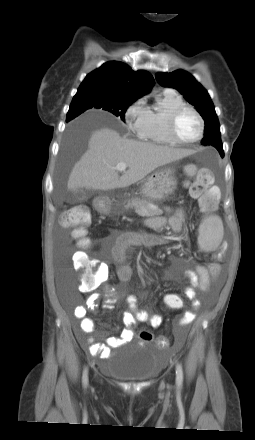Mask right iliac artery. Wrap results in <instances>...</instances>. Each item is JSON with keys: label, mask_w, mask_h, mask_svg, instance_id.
Listing matches in <instances>:
<instances>
[{"label": "right iliac artery", "mask_w": 255, "mask_h": 440, "mask_svg": "<svg viewBox=\"0 0 255 440\" xmlns=\"http://www.w3.org/2000/svg\"><path fill=\"white\" fill-rule=\"evenodd\" d=\"M87 383H88V370L86 368L84 370V373H83V385H84V387L87 386Z\"/></svg>", "instance_id": "82829eb1"}]
</instances>
